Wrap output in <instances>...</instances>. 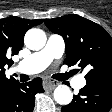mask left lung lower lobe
I'll use <instances>...</instances> for the list:
<instances>
[{"label":"left lung lower lobe","mask_w":112,"mask_h":112,"mask_svg":"<svg viewBox=\"0 0 112 112\" xmlns=\"http://www.w3.org/2000/svg\"><path fill=\"white\" fill-rule=\"evenodd\" d=\"M112 107V87L87 84L62 112H109Z\"/></svg>","instance_id":"obj_1"}]
</instances>
